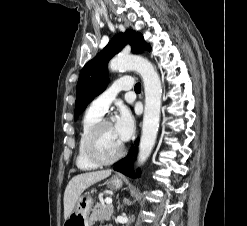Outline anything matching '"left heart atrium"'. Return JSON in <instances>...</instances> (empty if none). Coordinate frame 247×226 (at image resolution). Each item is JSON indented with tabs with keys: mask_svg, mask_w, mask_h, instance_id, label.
<instances>
[{
	"mask_svg": "<svg viewBox=\"0 0 247 226\" xmlns=\"http://www.w3.org/2000/svg\"><path fill=\"white\" fill-rule=\"evenodd\" d=\"M113 127L123 143L128 141L134 132V120L131 113L127 109H122Z\"/></svg>",
	"mask_w": 247,
	"mask_h": 226,
	"instance_id": "left-heart-atrium-1",
	"label": "left heart atrium"
}]
</instances>
